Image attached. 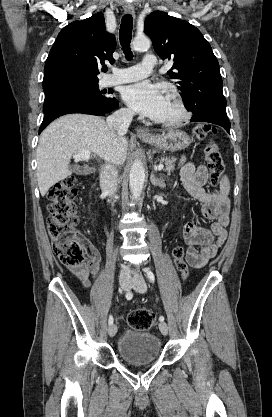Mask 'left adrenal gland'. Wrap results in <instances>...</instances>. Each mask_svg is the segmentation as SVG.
Instances as JSON below:
<instances>
[{"label":"left adrenal gland","mask_w":272,"mask_h":417,"mask_svg":"<svg viewBox=\"0 0 272 417\" xmlns=\"http://www.w3.org/2000/svg\"><path fill=\"white\" fill-rule=\"evenodd\" d=\"M150 181H151L152 185H154V186H158L160 188H162L164 186L162 176L155 177L154 172L151 173Z\"/></svg>","instance_id":"obj_1"}]
</instances>
